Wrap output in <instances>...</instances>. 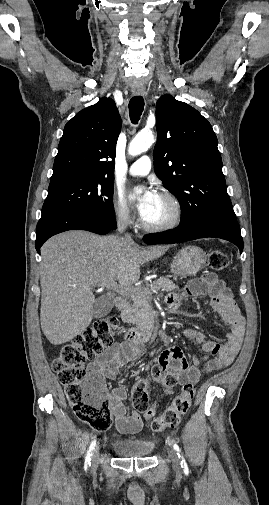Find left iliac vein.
<instances>
[{
    "instance_id": "left-iliac-vein-1",
    "label": "left iliac vein",
    "mask_w": 269,
    "mask_h": 505,
    "mask_svg": "<svg viewBox=\"0 0 269 505\" xmlns=\"http://www.w3.org/2000/svg\"><path fill=\"white\" fill-rule=\"evenodd\" d=\"M168 453H169V456H170V458H171V461H172V464H173L174 469H175L176 471H180L181 466H180V458H179V456H178V455H177V453H176L174 450H172V449H170V450L168 451Z\"/></svg>"
}]
</instances>
